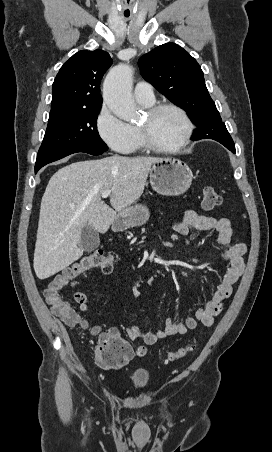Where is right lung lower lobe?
Here are the masks:
<instances>
[{
	"label": "right lung lower lobe",
	"mask_w": 272,
	"mask_h": 452,
	"mask_svg": "<svg viewBox=\"0 0 272 452\" xmlns=\"http://www.w3.org/2000/svg\"><path fill=\"white\" fill-rule=\"evenodd\" d=\"M77 152H84V153H88V154H91V155H100V154L103 153V152H92V151H89V150H86V149H83V148H74V149L68 150V151H66L64 153H61V154L39 157V158L36 159L35 173H37L38 170L41 169L46 164L54 162V161H57V160H59L61 158H64V157H66V156H68L70 154L77 153Z\"/></svg>",
	"instance_id": "obj_1"
}]
</instances>
